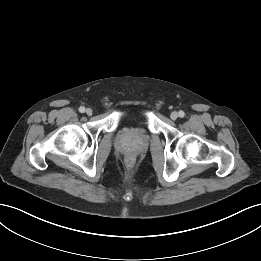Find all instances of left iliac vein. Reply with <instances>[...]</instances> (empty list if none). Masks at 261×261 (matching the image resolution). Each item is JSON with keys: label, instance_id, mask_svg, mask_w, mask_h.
I'll return each mask as SVG.
<instances>
[{"label": "left iliac vein", "instance_id": "4c4485c4", "mask_svg": "<svg viewBox=\"0 0 261 261\" xmlns=\"http://www.w3.org/2000/svg\"><path fill=\"white\" fill-rule=\"evenodd\" d=\"M172 120H176L178 118V113L176 111L172 112L170 115Z\"/></svg>", "mask_w": 261, "mask_h": 261}]
</instances>
